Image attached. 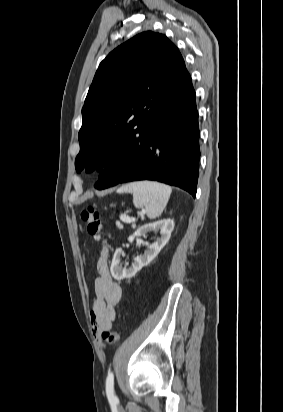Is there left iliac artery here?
<instances>
[{"label":"left iliac artery","instance_id":"44dca946","mask_svg":"<svg viewBox=\"0 0 283 412\" xmlns=\"http://www.w3.org/2000/svg\"><path fill=\"white\" fill-rule=\"evenodd\" d=\"M106 394L109 401L117 402L118 399L114 394V375L110 372L106 379Z\"/></svg>","mask_w":283,"mask_h":412}]
</instances>
